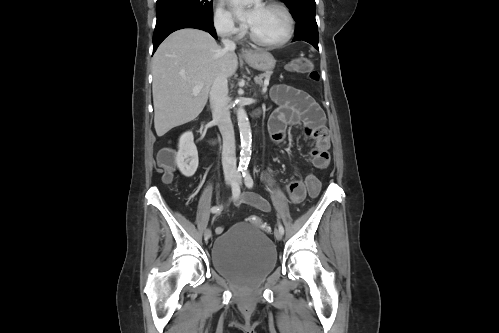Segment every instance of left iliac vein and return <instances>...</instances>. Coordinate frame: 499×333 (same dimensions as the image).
Here are the masks:
<instances>
[{
    "label": "left iliac vein",
    "instance_id": "4c4485c4",
    "mask_svg": "<svg viewBox=\"0 0 499 333\" xmlns=\"http://www.w3.org/2000/svg\"><path fill=\"white\" fill-rule=\"evenodd\" d=\"M236 180H237L238 183H241L242 182L241 176H239V175L236 176ZM274 235H275V238L277 240H281L282 237H283V234L279 230H276L275 233H274Z\"/></svg>",
    "mask_w": 499,
    "mask_h": 333
}]
</instances>
